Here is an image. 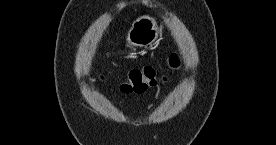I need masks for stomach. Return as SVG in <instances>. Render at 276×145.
I'll list each match as a JSON object with an SVG mask.
<instances>
[{
	"instance_id": "0dacf381",
	"label": "stomach",
	"mask_w": 276,
	"mask_h": 145,
	"mask_svg": "<svg viewBox=\"0 0 276 145\" xmlns=\"http://www.w3.org/2000/svg\"><path fill=\"white\" fill-rule=\"evenodd\" d=\"M161 35V28L156 20L149 15L137 18L127 35V42L131 46L146 47L154 43Z\"/></svg>"
}]
</instances>
